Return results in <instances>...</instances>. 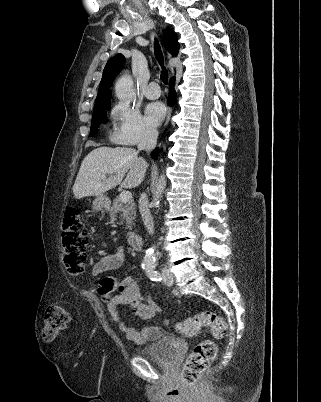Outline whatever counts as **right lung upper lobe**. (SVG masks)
Wrapping results in <instances>:
<instances>
[{"label": "right lung upper lobe", "mask_w": 321, "mask_h": 402, "mask_svg": "<svg viewBox=\"0 0 321 402\" xmlns=\"http://www.w3.org/2000/svg\"><path fill=\"white\" fill-rule=\"evenodd\" d=\"M164 43L166 49L173 56H176L179 51V43L176 34L170 28H167L164 32ZM124 63L125 57L122 54H117L109 59L103 71V76L99 85V91L95 100L94 108L110 104V87L115 77L119 74Z\"/></svg>", "instance_id": "obj_1"}]
</instances>
